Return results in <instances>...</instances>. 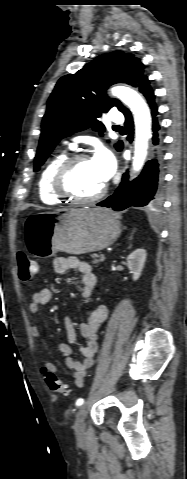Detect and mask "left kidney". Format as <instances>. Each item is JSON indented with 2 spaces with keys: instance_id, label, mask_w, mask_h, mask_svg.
Masks as SVG:
<instances>
[{
  "instance_id": "obj_1",
  "label": "left kidney",
  "mask_w": 187,
  "mask_h": 479,
  "mask_svg": "<svg viewBox=\"0 0 187 479\" xmlns=\"http://www.w3.org/2000/svg\"><path fill=\"white\" fill-rule=\"evenodd\" d=\"M146 250L136 249L127 257V265L134 281L138 280L146 261Z\"/></svg>"
}]
</instances>
